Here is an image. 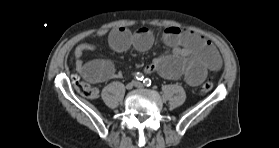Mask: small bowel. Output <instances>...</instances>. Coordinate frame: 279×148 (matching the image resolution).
Here are the masks:
<instances>
[{
	"label": "small bowel",
	"instance_id": "c3829d8e",
	"mask_svg": "<svg viewBox=\"0 0 279 148\" xmlns=\"http://www.w3.org/2000/svg\"><path fill=\"white\" fill-rule=\"evenodd\" d=\"M103 35L105 33L97 34L99 37ZM163 40L170 50L154 58L144 68L145 73L158 72L167 79L183 77L190 86H197L208 71L221 68L222 60L215 46L193 31L170 26L164 30ZM108 41L117 52H124L130 47L143 52L152 46L153 35L146 27L133 32L119 27L108 34ZM91 50L93 46L87 43L78 45L75 50L76 68L83 78L91 83H102L120 76L109 60L84 62L82 57Z\"/></svg>",
	"mask_w": 279,
	"mask_h": 148
}]
</instances>
